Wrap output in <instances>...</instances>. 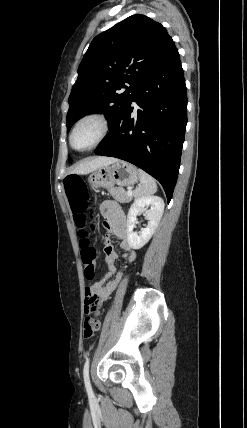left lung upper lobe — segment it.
Here are the masks:
<instances>
[{"label":"left lung upper lobe","mask_w":247,"mask_h":428,"mask_svg":"<svg viewBox=\"0 0 247 428\" xmlns=\"http://www.w3.org/2000/svg\"><path fill=\"white\" fill-rule=\"evenodd\" d=\"M175 49L166 29L140 14L96 36L79 65L68 99L67 132L92 112L105 113L112 125L138 85Z\"/></svg>","instance_id":"5c2ea615"}]
</instances>
